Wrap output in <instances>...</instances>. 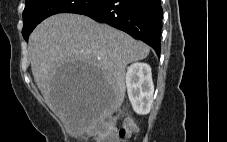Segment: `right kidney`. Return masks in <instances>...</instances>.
Listing matches in <instances>:
<instances>
[{"instance_id":"ca27d5eb","label":"right kidney","mask_w":227,"mask_h":142,"mask_svg":"<svg viewBox=\"0 0 227 142\" xmlns=\"http://www.w3.org/2000/svg\"><path fill=\"white\" fill-rule=\"evenodd\" d=\"M126 86L129 100L137 114L150 112L153 103L154 85L151 68L146 63H133L127 68Z\"/></svg>"}]
</instances>
